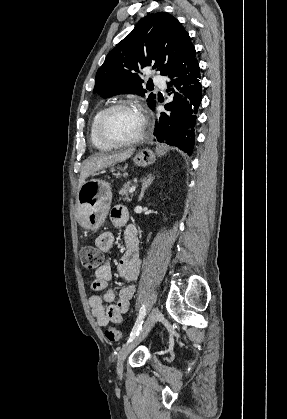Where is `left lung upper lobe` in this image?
Masks as SVG:
<instances>
[{
    "label": "left lung upper lobe",
    "instance_id": "obj_1",
    "mask_svg": "<svg viewBox=\"0 0 287 419\" xmlns=\"http://www.w3.org/2000/svg\"><path fill=\"white\" fill-rule=\"evenodd\" d=\"M195 56L189 34L176 18L165 12L149 14L108 53L97 71L93 92L102 97L120 93L144 96L141 69L152 66L161 75L170 76L183 70ZM147 101L152 107L155 95L151 93Z\"/></svg>",
    "mask_w": 287,
    "mask_h": 419
}]
</instances>
